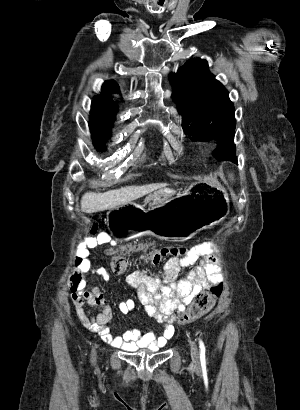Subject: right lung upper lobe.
Listing matches in <instances>:
<instances>
[{
    "instance_id": "cb5924a9",
    "label": "right lung upper lobe",
    "mask_w": 300,
    "mask_h": 410,
    "mask_svg": "<svg viewBox=\"0 0 300 410\" xmlns=\"http://www.w3.org/2000/svg\"><path fill=\"white\" fill-rule=\"evenodd\" d=\"M102 91L104 95L95 99L98 102L96 109L102 115L114 118L117 107L115 103L110 100V96L112 92L119 91V86L115 81H106L102 86Z\"/></svg>"
}]
</instances>
